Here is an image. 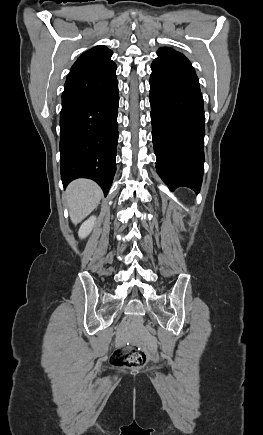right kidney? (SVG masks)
I'll use <instances>...</instances> for the list:
<instances>
[{
    "instance_id": "right-kidney-1",
    "label": "right kidney",
    "mask_w": 263,
    "mask_h": 435,
    "mask_svg": "<svg viewBox=\"0 0 263 435\" xmlns=\"http://www.w3.org/2000/svg\"><path fill=\"white\" fill-rule=\"evenodd\" d=\"M96 222V217L95 216H91L89 219H87L85 222H83V224L80 226V229L78 231V235L80 238H85L86 236H88L90 234V232L92 231L94 225Z\"/></svg>"
}]
</instances>
